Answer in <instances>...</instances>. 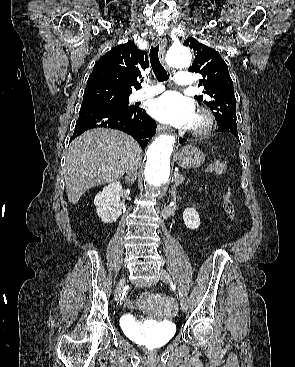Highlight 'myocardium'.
Instances as JSON below:
<instances>
[{"mask_svg": "<svg viewBox=\"0 0 295 367\" xmlns=\"http://www.w3.org/2000/svg\"><path fill=\"white\" fill-rule=\"evenodd\" d=\"M214 126V118L207 110H200L191 127L190 131L194 136L203 137L208 135Z\"/></svg>", "mask_w": 295, "mask_h": 367, "instance_id": "1", "label": "myocardium"}]
</instances>
